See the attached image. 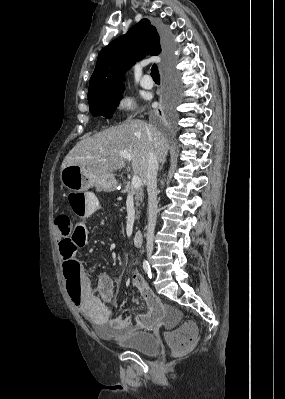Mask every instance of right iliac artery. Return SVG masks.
<instances>
[{
  "label": "right iliac artery",
  "instance_id": "82829eb1",
  "mask_svg": "<svg viewBox=\"0 0 285 399\" xmlns=\"http://www.w3.org/2000/svg\"><path fill=\"white\" fill-rule=\"evenodd\" d=\"M143 269L145 270V272H146L147 274H150L151 269H150V265H149V263H148L147 260H144V261H143Z\"/></svg>",
  "mask_w": 285,
  "mask_h": 399
}]
</instances>
